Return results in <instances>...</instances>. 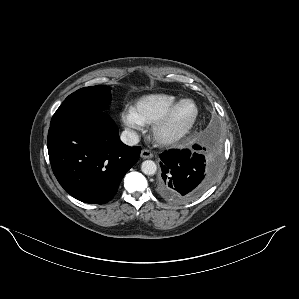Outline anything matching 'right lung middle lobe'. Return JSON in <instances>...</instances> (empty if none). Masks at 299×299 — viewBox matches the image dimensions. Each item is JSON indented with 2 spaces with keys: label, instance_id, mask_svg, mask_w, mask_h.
I'll use <instances>...</instances> for the list:
<instances>
[{
  "label": "right lung middle lobe",
  "instance_id": "dd1d6c3e",
  "mask_svg": "<svg viewBox=\"0 0 299 299\" xmlns=\"http://www.w3.org/2000/svg\"><path fill=\"white\" fill-rule=\"evenodd\" d=\"M111 101L110 87L97 85L81 88L69 95L52 117L51 123L64 117L79 113L102 111Z\"/></svg>",
  "mask_w": 299,
  "mask_h": 299
}]
</instances>
